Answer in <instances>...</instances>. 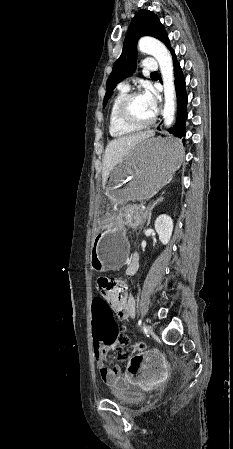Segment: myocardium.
<instances>
[{"mask_svg":"<svg viewBox=\"0 0 233 449\" xmlns=\"http://www.w3.org/2000/svg\"><path fill=\"white\" fill-rule=\"evenodd\" d=\"M142 93L140 91H131L128 92L119 102L118 108H117V115L119 120L124 123L127 126L141 129L146 128L150 125H152L155 122L156 116L155 114L147 121L141 122L136 120L131 112H130V103L131 101L141 95Z\"/></svg>","mask_w":233,"mask_h":449,"instance_id":"myocardium-1","label":"myocardium"}]
</instances>
